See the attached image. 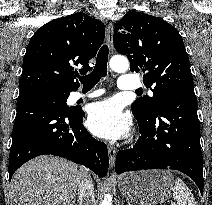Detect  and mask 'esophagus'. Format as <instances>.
Here are the masks:
<instances>
[{"instance_id": "esophagus-1", "label": "esophagus", "mask_w": 212, "mask_h": 205, "mask_svg": "<svg viewBox=\"0 0 212 205\" xmlns=\"http://www.w3.org/2000/svg\"><path fill=\"white\" fill-rule=\"evenodd\" d=\"M113 34H114V26L112 22H109L106 27V41L110 50L113 49ZM108 154H109V165L110 168L112 169L115 164L116 149L113 146H108Z\"/></svg>"}]
</instances>
